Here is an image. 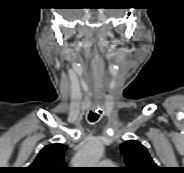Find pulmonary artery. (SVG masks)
I'll return each mask as SVG.
<instances>
[{"label": "pulmonary artery", "instance_id": "1", "mask_svg": "<svg viewBox=\"0 0 184 173\" xmlns=\"http://www.w3.org/2000/svg\"><path fill=\"white\" fill-rule=\"evenodd\" d=\"M101 164L103 166H111L113 163L111 161H109V160H105V161H102Z\"/></svg>", "mask_w": 184, "mask_h": 173}]
</instances>
